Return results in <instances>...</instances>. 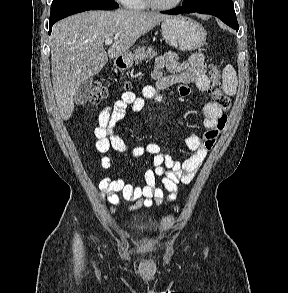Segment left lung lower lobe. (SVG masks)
<instances>
[{
  "label": "left lung lower lobe",
  "instance_id": "0a47b994",
  "mask_svg": "<svg viewBox=\"0 0 288 293\" xmlns=\"http://www.w3.org/2000/svg\"><path fill=\"white\" fill-rule=\"evenodd\" d=\"M192 12H197L201 14H210V15L216 16L219 19H221L225 24L235 29L236 31H238L239 29L236 14L235 15L228 14L226 12H223L217 9L187 7L182 5L181 7H177L169 11H163L162 13L176 15V14L192 13Z\"/></svg>",
  "mask_w": 288,
  "mask_h": 293
}]
</instances>
